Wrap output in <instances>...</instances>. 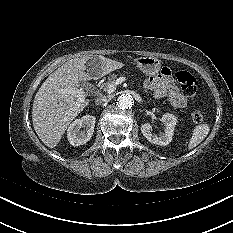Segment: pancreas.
Returning a JSON list of instances; mask_svg holds the SVG:
<instances>
[{
  "mask_svg": "<svg viewBox=\"0 0 233 233\" xmlns=\"http://www.w3.org/2000/svg\"><path fill=\"white\" fill-rule=\"evenodd\" d=\"M116 78H117V75H112V76H110V77L108 78V81L105 82V83L102 85V87H103L104 89H107L108 86H109L110 84H112V83L116 80Z\"/></svg>",
  "mask_w": 233,
  "mask_h": 233,
  "instance_id": "pancreas-1",
  "label": "pancreas"
}]
</instances>
